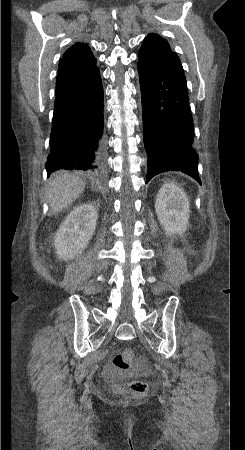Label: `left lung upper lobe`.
Masks as SVG:
<instances>
[{"label": "left lung upper lobe", "mask_w": 245, "mask_h": 450, "mask_svg": "<svg viewBox=\"0 0 245 450\" xmlns=\"http://www.w3.org/2000/svg\"><path fill=\"white\" fill-rule=\"evenodd\" d=\"M138 62L147 65H166L186 82L184 70L175 52L170 49L168 42L155 34H149L143 41L138 53Z\"/></svg>", "instance_id": "5c2ea615"}]
</instances>
